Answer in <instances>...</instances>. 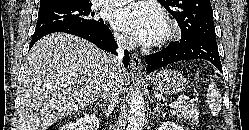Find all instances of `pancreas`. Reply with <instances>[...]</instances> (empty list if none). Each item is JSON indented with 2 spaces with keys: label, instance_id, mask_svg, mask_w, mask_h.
<instances>
[{
  "label": "pancreas",
  "instance_id": "1",
  "mask_svg": "<svg viewBox=\"0 0 249 130\" xmlns=\"http://www.w3.org/2000/svg\"><path fill=\"white\" fill-rule=\"evenodd\" d=\"M198 106L194 104H184L181 108L179 109H174L173 115L179 117V118H184L186 120H189L193 124H198Z\"/></svg>",
  "mask_w": 249,
  "mask_h": 130
}]
</instances>
